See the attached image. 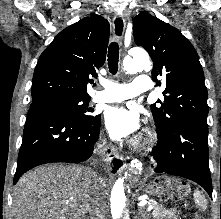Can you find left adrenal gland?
Returning a JSON list of instances; mask_svg holds the SVG:
<instances>
[{
	"instance_id": "1",
	"label": "left adrenal gland",
	"mask_w": 221,
	"mask_h": 219,
	"mask_svg": "<svg viewBox=\"0 0 221 219\" xmlns=\"http://www.w3.org/2000/svg\"><path fill=\"white\" fill-rule=\"evenodd\" d=\"M139 215L142 217V219H147V217L145 216V214L142 213L141 211H139Z\"/></svg>"
}]
</instances>
